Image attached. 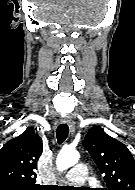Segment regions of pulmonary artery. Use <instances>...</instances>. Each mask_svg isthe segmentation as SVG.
<instances>
[{
    "instance_id": "obj_1",
    "label": "pulmonary artery",
    "mask_w": 135,
    "mask_h": 190,
    "mask_svg": "<svg viewBox=\"0 0 135 190\" xmlns=\"http://www.w3.org/2000/svg\"><path fill=\"white\" fill-rule=\"evenodd\" d=\"M65 181L81 184L88 179V168L84 163H78L72 167L64 176Z\"/></svg>"
}]
</instances>
